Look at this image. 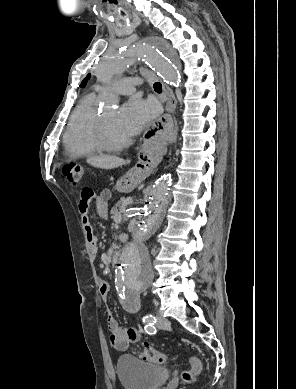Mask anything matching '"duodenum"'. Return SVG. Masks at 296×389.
Returning <instances> with one entry per match:
<instances>
[{"label":"duodenum","mask_w":296,"mask_h":389,"mask_svg":"<svg viewBox=\"0 0 296 389\" xmlns=\"http://www.w3.org/2000/svg\"><path fill=\"white\" fill-rule=\"evenodd\" d=\"M118 259H119V252L116 251V252L113 253V255H112V257H111V263H112V265L116 264L117 261H118Z\"/></svg>","instance_id":"duodenum-1"}]
</instances>
